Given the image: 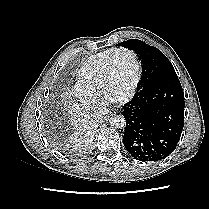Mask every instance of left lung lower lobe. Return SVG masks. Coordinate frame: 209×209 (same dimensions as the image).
I'll use <instances>...</instances> for the list:
<instances>
[{"label": "left lung lower lobe", "instance_id": "left-lung-lower-lobe-1", "mask_svg": "<svg viewBox=\"0 0 209 209\" xmlns=\"http://www.w3.org/2000/svg\"><path fill=\"white\" fill-rule=\"evenodd\" d=\"M123 143L140 161H159L176 148L184 125V94L178 77L137 92L123 107Z\"/></svg>", "mask_w": 209, "mask_h": 209}]
</instances>
